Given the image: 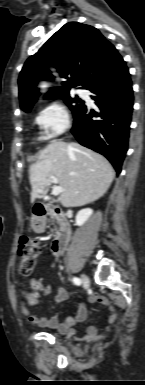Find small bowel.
Listing matches in <instances>:
<instances>
[{
    "label": "small bowel",
    "instance_id": "obj_1",
    "mask_svg": "<svg viewBox=\"0 0 145 385\" xmlns=\"http://www.w3.org/2000/svg\"><path fill=\"white\" fill-rule=\"evenodd\" d=\"M50 292V287H46L44 290L45 294ZM69 297V293L63 287H58L57 293L55 295V304H61L65 302ZM88 300L92 303H98L101 305L108 306L111 310V313L107 316L106 321L108 323H112L116 319V313L111 302L104 296H100L97 294H92L89 296ZM21 313L28 319V321L32 324L38 325L43 328L48 329H56L60 333L67 336L68 339H72L75 335V325L79 322H82L87 317V309L84 302H81L77 307L73 316L68 317L66 320L60 322L58 315H54L52 317H44L39 316L37 314H32L30 309L24 302H20L19 304ZM106 334L110 333L111 326L106 325L104 328ZM100 339L98 334V329L95 326H89L86 330V333L79 339L83 342H95Z\"/></svg>",
    "mask_w": 145,
    "mask_h": 385
}]
</instances>
